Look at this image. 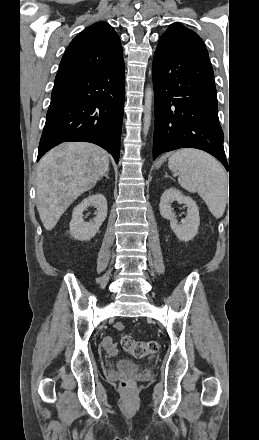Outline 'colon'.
<instances>
[{"instance_id":"5ec220e1","label":"colon","mask_w":259,"mask_h":440,"mask_svg":"<svg viewBox=\"0 0 259 440\" xmlns=\"http://www.w3.org/2000/svg\"><path fill=\"white\" fill-rule=\"evenodd\" d=\"M121 344L125 351L136 358H142L158 351L159 345L156 341H138L127 334L121 336ZM120 386L124 390H130L133 382L130 379H123Z\"/></svg>"}]
</instances>
